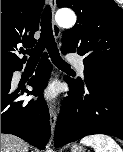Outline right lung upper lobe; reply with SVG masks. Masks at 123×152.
Returning a JSON list of instances; mask_svg holds the SVG:
<instances>
[{
  "mask_svg": "<svg viewBox=\"0 0 123 152\" xmlns=\"http://www.w3.org/2000/svg\"><path fill=\"white\" fill-rule=\"evenodd\" d=\"M43 4L44 0H1V69L23 67L26 57L21 60L16 51L35 45Z\"/></svg>",
  "mask_w": 123,
  "mask_h": 152,
  "instance_id": "cb5924a9",
  "label": "right lung upper lobe"
}]
</instances>
